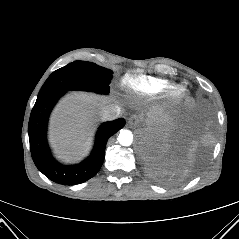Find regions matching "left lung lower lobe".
<instances>
[{
    "label": "left lung lower lobe",
    "instance_id": "left-lung-lower-lobe-1",
    "mask_svg": "<svg viewBox=\"0 0 239 239\" xmlns=\"http://www.w3.org/2000/svg\"><path fill=\"white\" fill-rule=\"evenodd\" d=\"M205 111L201 107H194L186 112L183 119L182 132H191L200 128L205 118ZM176 136L172 132L161 131L153 133L143 139L140 145V152L149 174L159 180L165 181L185 175L188 168L173 170L169 156L176 149ZM187 167H192L191 165Z\"/></svg>",
    "mask_w": 239,
    "mask_h": 239
}]
</instances>
